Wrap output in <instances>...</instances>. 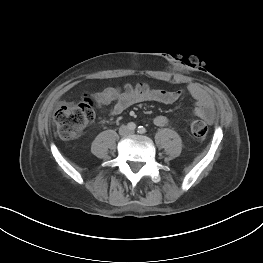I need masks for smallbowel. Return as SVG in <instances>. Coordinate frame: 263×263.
Returning <instances> with one entry per match:
<instances>
[{
  "mask_svg": "<svg viewBox=\"0 0 263 263\" xmlns=\"http://www.w3.org/2000/svg\"><path fill=\"white\" fill-rule=\"evenodd\" d=\"M187 90L196 101V106L193 110L194 114L206 122H212L215 117L214 104L207 91L197 83H190ZM182 94V90L152 89L146 94L139 95L131 91L120 92L115 88L108 87L97 93L95 100L99 106H106L114 102L111 114L119 115L128 107L144 101L172 104ZM153 122L156 126L162 127L169 123V118L165 115H157L154 117Z\"/></svg>",
  "mask_w": 263,
  "mask_h": 263,
  "instance_id": "1",
  "label": "small bowel"
}]
</instances>
